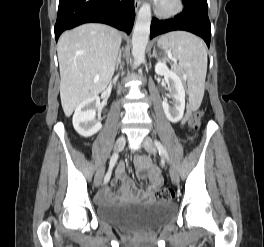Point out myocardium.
Instances as JSON below:
<instances>
[{"label":"myocardium","instance_id":"myocardium-1","mask_svg":"<svg viewBox=\"0 0 264 247\" xmlns=\"http://www.w3.org/2000/svg\"><path fill=\"white\" fill-rule=\"evenodd\" d=\"M184 8L182 0H161L155 8V13L163 18L179 14Z\"/></svg>","mask_w":264,"mask_h":247}]
</instances>
